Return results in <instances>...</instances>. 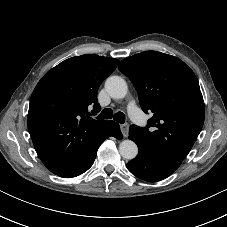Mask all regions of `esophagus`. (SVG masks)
Returning a JSON list of instances; mask_svg holds the SVG:
<instances>
[{
  "label": "esophagus",
  "instance_id": "1",
  "mask_svg": "<svg viewBox=\"0 0 227 227\" xmlns=\"http://www.w3.org/2000/svg\"><path fill=\"white\" fill-rule=\"evenodd\" d=\"M120 129H121L122 135L124 137H127L128 136V132H129V124L128 123L121 124L120 125Z\"/></svg>",
  "mask_w": 227,
  "mask_h": 227
}]
</instances>
